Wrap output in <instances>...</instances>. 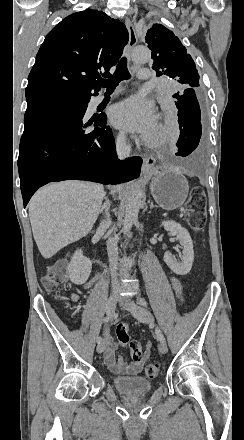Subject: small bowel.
<instances>
[{
	"label": "small bowel",
	"mask_w": 244,
	"mask_h": 440,
	"mask_svg": "<svg viewBox=\"0 0 244 440\" xmlns=\"http://www.w3.org/2000/svg\"><path fill=\"white\" fill-rule=\"evenodd\" d=\"M170 283L172 286V289L175 293L176 299L183 303L185 301L184 297V289L183 285L180 282V280L177 277H171ZM93 284V281H89L85 284L86 287H89ZM74 300H78V295H73ZM115 351H116V344L113 341H108L105 347L104 351V362L105 365L108 367V369L120 376H126V377H134L137 376L138 373L141 371L145 361L150 355V349L148 348L144 354V361L143 363H132V362H126L125 359L120 356L118 359L115 358Z\"/></svg>",
	"instance_id": "small-bowel-1"
}]
</instances>
